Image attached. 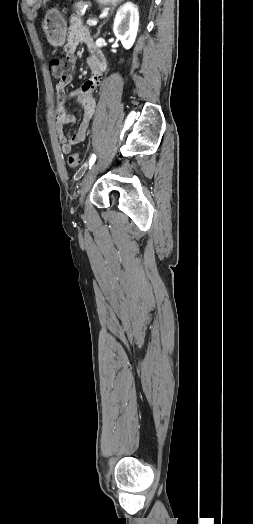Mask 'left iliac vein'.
Masks as SVG:
<instances>
[{
	"label": "left iliac vein",
	"instance_id": "4c4485c4",
	"mask_svg": "<svg viewBox=\"0 0 253 524\" xmlns=\"http://www.w3.org/2000/svg\"><path fill=\"white\" fill-rule=\"evenodd\" d=\"M99 168H100V163L97 162L85 174V176L83 178V181L81 183V194H80V199H79L81 204L84 201L85 195L87 194V192L91 188V186H92V184H93V182H94V180L96 178V175L98 173Z\"/></svg>",
	"mask_w": 253,
	"mask_h": 524
}]
</instances>
